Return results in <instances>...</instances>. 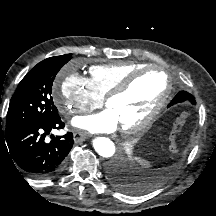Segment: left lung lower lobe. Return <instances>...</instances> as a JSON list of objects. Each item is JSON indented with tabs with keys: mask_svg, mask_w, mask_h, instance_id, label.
<instances>
[{
	"mask_svg": "<svg viewBox=\"0 0 216 216\" xmlns=\"http://www.w3.org/2000/svg\"><path fill=\"white\" fill-rule=\"evenodd\" d=\"M189 95H181L179 92L168 105L169 107L189 99ZM109 175L113 184L123 192L131 193L134 190L132 177L126 174L122 167L113 163L109 168Z\"/></svg>",
	"mask_w": 216,
	"mask_h": 216,
	"instance_id": "1",
	"label": "left lung lower lobe"
}]
</instances>
